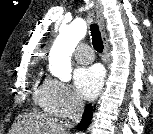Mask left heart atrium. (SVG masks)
I'll return each instance as SVG.
<instances>
[{
  "instance_id": "39dd6f15",
  "label": "left heart atrium",
  "mask_w": 153,
  "mask_h": 134,
  "mask_svg": "<svg viewBox=\"0 0 153 134\" xmlns=\"http://www.w3.org/2000/svg\"><path fill=\"white\" fill-rule=\"evenodd\" d=\"M104 80L99 66L80 67L74 72V85L78 95L84 99H94L101 90Z\"/></svg>"
}]
</instances>
